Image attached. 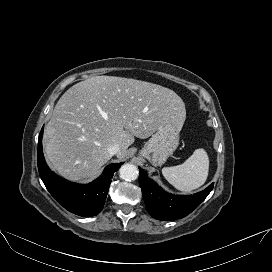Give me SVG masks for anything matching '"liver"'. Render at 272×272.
I'll return each instance as SVG.
<instances>
[{
    "label": "liver",
    "instance_id": "6515ba94",
    "mask_svg": "<svg viewBox=\"0 0 272 272\" xmlns=\"http://www.w3.org/2000/svg\"><path fill=\"white\" fill-rule=\"evenodd\" d=\"M183 100L171 89L131 78L95 76L69 88L58 100L44 135L49 166L71 181L92 177L119 145L122 159L135 137H150L173 121L182 128Z\"/></svg>",
    "mask_w": 272,
    "mask_h": 272
}]
</instances>
